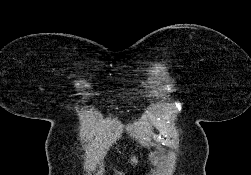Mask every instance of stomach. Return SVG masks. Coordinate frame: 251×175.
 <instances>
[{
  "label": "stomach",
  "mask_w": 251,
  "mask_h": 175,
  "mask_svg": "<svg viewBox=\"0 0 251 175\" xmlns=\"http://www.w3.org/2000/svg\"><path fill=\"white\" fill-rule=\"evenodd\" d=\"M148 159L151 161L152 165H157L161 159V155L159 151H150Z\"/></svg>",
  "instance_id": "stomach-1"
}]
</instances>
